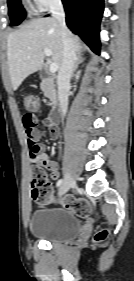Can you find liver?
Listing matches in <instances>:
<instances>
[{
  "instance_id": "1",
  "label": "liver",
  "mask_w": 134,
  "mask_h": 281,
  "mask_svg": "<svg viewBox=\"0 0 134 281\" xmlns=\"http://www.w3.org/2000/svg\"><path fill=\"white\" fill-rule=\"evenodd\" d=\"M70 32V31H69ZM76 52L82 50L80 39L70 32ZM44 49L52 51L51 60L60 68L63 58L61 28L54 18L33 19L7 38V61L13 90L44 63Z\"/></svg>"
}]
</instances>
